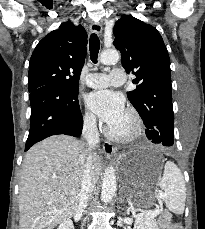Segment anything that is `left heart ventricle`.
Instances as JSON below:
<instances>
[{"instance_id":"1","label":"left heart ventricle","mask_w":205,"mask_h":229,"mask_svg":"<svg viewBox=\"0 0 205 229\" xmlns=\"http://www.w3.org/2000/svg\"><path fill=\"white\" fill-rule=\"evenodd\" d=\"M130 127H131V121L126 114L123 115V117L119 122L110 126V128L117 133H125L130 129Z\"/></svg>"}]
</instances>
